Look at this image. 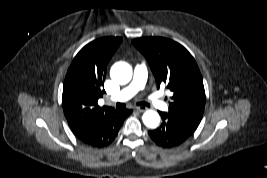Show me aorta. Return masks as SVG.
<instances>
[{"instance_id": "762f6f07", "label": "aorta", "mask_w": 267, "mask_h": 178, "mask_svg": "<svg viewBox=\"0 0 267 178\" xmlns=\"http://www.w3.org/2000/svg\"><path fill=\"white\" fill-rule=\"evenodd\" d=\"M110 76L118 84H127L132 78V67L126 62H117L111 67ZM142 120L148 128H156L160 123V116L156 111L147 110L144 112Z\"/></svg>"}]
</instances>
